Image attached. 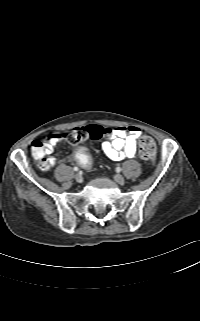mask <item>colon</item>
<instances>
[{"label": "colon", "instance_id": "5ec220e1", "mask_svg": "<svg viewBox=\"0 0 200 321\" xmlns=\"http://www.w3.org/2000/svg\"><path fill=\"white\" fill-rule=\"evenodd\" d=\"M110 129L99 125H87L77 127L66 132L65 135L72 144H79L89 140H99L103 136L109 135ZM32 154L38 160V166L41 170H48L52 164L45 155V142L34 141L32 144ZM139 154L141 158L148 162H153L156 158V144L154 140L148 136H143L139 141ZM73 157L76 162L83 167L91 165V156L88 148L83 145L76 146L73 151Z\"/></svg>", "mask_w": 200, "mask_h": 321}]
</instances>
